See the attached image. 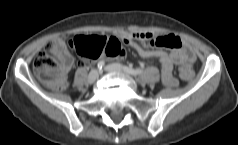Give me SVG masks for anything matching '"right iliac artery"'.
<instances>
[{
	"label": "right iliac artery",
	"instance_id": "82829eb1",
	"mask_svg": "<svg viewBox=\"0 0 238 145\" xmlns=\"http://www.w3.org/2000/svg\"><path fill=\"white\" fill-rule=\"evenodd\" d=\"M104 65H105V62H104V61H99L98 64H97V68H98L99 70H101V69L104 67Z\"/></svg>",
	"mask_w": 238,
	"mask_h": 145
}]
</instances>
